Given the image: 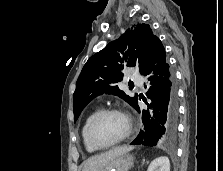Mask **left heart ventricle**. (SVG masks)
I'll list each match as a JSON object with an SVG mask.
<instances>
[{
	"instance_id": "left-heart-ventricle-1",
	"label": "left heart ventricle",
	"mask_w": 223,
	"mask_h": 171,
	"mask_svg": "<svg viewBox=\"0 0 223 171\" xmlns=\"http://www.w3.org/2000/svg\"><path fill=\"white\" fill-rule=\"evenodd\" d=\"M126 132L125 119L117 114L102 117L94 127V138L101 144L117 141Z\"/></svg>"
}]
</instances>
